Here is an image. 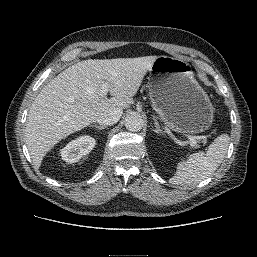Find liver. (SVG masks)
<instances>
[{"label": "liver", "instance_id": "1", "mask_svg": "<svg viewBox=\"0 0 257 257\" xmlns=\"http://www.w3.org/2000/svg\"><path fill=\"white\" fill-rule=\"evenodd\" d=\"M156 58L84 60L52 79L34 99L27 118L25 140L36 167L61 139L93 123L102 111L128 108ZM103 83L111 98L100 95Z\"/></svg>", "mask_w": 257, "mask_h": 257}]
</instances>
